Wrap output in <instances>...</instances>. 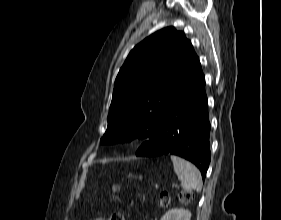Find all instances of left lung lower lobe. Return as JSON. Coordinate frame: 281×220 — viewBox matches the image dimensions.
<instances>
[{"mask_svg": "<svg viewBox=\"0 0 281 220\" xmlns=\"http://www.w3.org/2000/svg\"><path fill=\"white\" fill-rule=\"evenodd\" d=\"M210 122L201 65L181 88L153 138L143 143L137 156L173 154L194 163L202 178L210 163Z\"/></svg>", "mask_w": 281, "mask_h": 220, "instance_id": "1", "label": "left lung lower lobe"}]
</instances>
